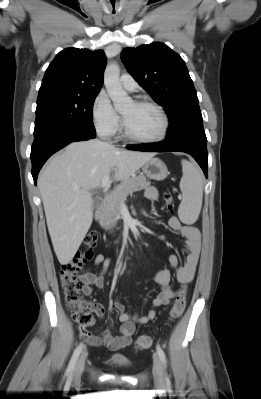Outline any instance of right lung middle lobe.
<instances>
[{
	"label": "right lung middle lobe",
	"instance_id": "right-lung-middle-lobe-1",
	"mask_svg": "<svg viewBox=\"0 0 261 399\" xmlns=\"http://www.w3.org/2000/svg\"><path fill=\"white\" fill-rule=\"evenodd\" d=\"M96 96L51 94L38 97L35 127L54 121H66L94 131L92 107Z\"/></svg>",
	"mask_w": 261,
	"mask_h": 399
}]
</instances>
